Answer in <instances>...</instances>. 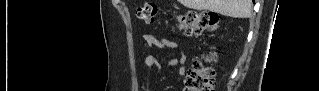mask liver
<instances>
[{"label": "liver", "mask_w": 319, "mask_h": 91, "mask_svg": "<svg viewBox=\"0 0 319 91\" xmlns=\"http://www.w3.org/2000/svg\"><path fill=\"white\" fill-rule=\"evenodd\" d=\"M185 7L210 10L232 18H246L252 12V0H179Z\"/></svg>", "instance_id": "liver-1"}]
</instances>
